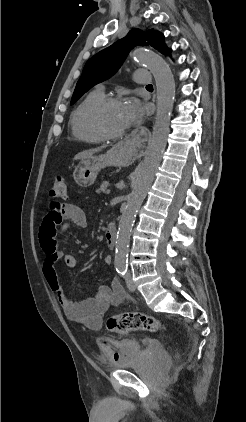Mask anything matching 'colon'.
I'll return each instance as SVG.
<instances>
[{"label": "colon", "instance_id": "1", "mask_svg": "<svg viewBox=\"0 0 246 422\" xmlns=\"http://www.w3.org/2000/svg\"><path fill=\"white\" fill-rule=\"evenodd\" d=\"M67 193L68 185L65 178L57 176L50 187L49 196L51 198H65ZM106 326L110 331L118 333L130 331L156 332L163 329L162 324L155 317L138 312H125L114 315L107 320Z\"/></svg>", "mask_w": 246, "mask_h": 422}]
</instances>
